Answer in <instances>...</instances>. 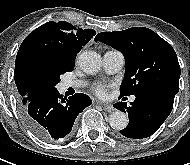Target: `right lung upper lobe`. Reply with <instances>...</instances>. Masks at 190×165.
Masks as SVG:
<instances>
[{"mask_svg": "<svg viewBox=\"0 0 190 165\" xmlns=\"http://www.w3.org/2000/svg\"><path fill=\"white\" fill-rule=\"evenodd\" d=\"M92 29H79L68 22H48L32 31L22 42L15 62V83L23 105L34 95L27 79V62L35 50L54 53L63 59L72 61L82 46L95 36Z\"/></svg>", "mask_w": 190, "mask_h": 165, "instance_id": "cb5924a9", "label": "right lung upper lobe"}]
</instances>
